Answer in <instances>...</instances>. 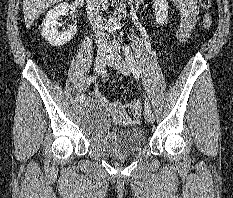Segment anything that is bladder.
<instances>
[{"mask_svg":"<svg viewBox=\"0 0 233 198\" xmlns=\"http://www.w3.org/2000/svg\"><path fill=\"white\" fill-rule=\"evenodd\" d=\"M79 124L90 145L108 157L133 155L147 141L146 131L142 127L111 128L108 109L101 102L88 104L80 114Z\"/></svg>","mask_w":233,"mask_h":198,"instance_id":"obj_1","label":"bladder"}]
</instances>
